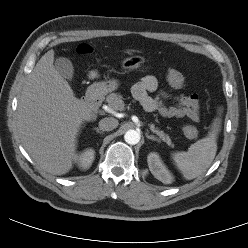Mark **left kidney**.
Listing matches in <instances>:
<instances>
[{"mask_svg":"<svg viewBox=\"0 0 248 248\" xmlns=\"http://www.w3.org/2000/svg\"><path fill=\"white\" fill-rule=\"evenodd\" d=\"M149 170L156 179L165 184H170L173 181V176L160 160L157 153H150L147 157Z\"/></svg>","mask_w":248,"mask_h":248,"instance_id":"1","label":"left kidney"}]
</instances>
